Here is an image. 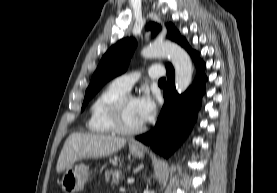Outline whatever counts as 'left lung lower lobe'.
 Returning a JSON list of instances; mask_svg holds the SVG:
<instances>
[{"label":"left lung lower lobe","mask_w":277,"mask_h":193,"mask_svg":"<svg viewBox=\"0 0 277 193\" xmlns=\"http://www.w3.org/2000/svg\"><path fill=\"white\" fill-rule=\"evenodd\" d=\"M193 57L197 75L192 87L179 95L175 89V73L171 65H167V84L163 95L165 104L162 107L155 128L141 136L137 140L152 149L168 157L180 145L192 129L197 112L201 105V98L205 92L206 76L205 64L199 59V54L193 51L188 42L183 46Z\"/></svg>","instance_id":"1"}]
</instances>
